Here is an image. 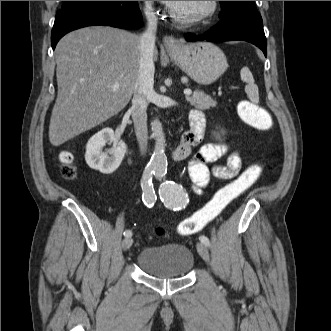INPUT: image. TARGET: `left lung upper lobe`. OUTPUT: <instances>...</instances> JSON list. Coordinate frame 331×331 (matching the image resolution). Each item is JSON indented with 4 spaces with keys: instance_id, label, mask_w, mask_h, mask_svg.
I'll use <instances>...</instances> for the list:
<instances>
[{
    "instance_id": "1",
    "label": "left lung upper lobe",
    "mask_w": 331,
    "mask_h": 331,
    "mask_svg": "<svg viewBox=\"0 0 331 331\" xmlns=\"http://www.w3.org/2000/svg\"><path fill=\"white\" fill-rule=\"evenodd\" d=\"M220 3L222 6V12L219 17L221 19L257 12L254 1H220Z\"/></svg>"
}]
</instances>
